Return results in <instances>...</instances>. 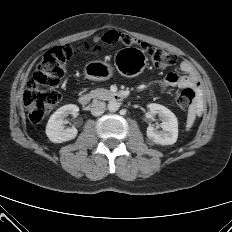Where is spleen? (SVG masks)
<instances>
[{
  "label": "spleen",
  "instance_id": "1",
  "mask_svg": "<svg viewBox=\"0 0 232 232\" xmlns=\"http://www.w3.org/2000/svg\"><path fill=\"white\" fill-rule=\"evenodd\" d=\"M196 118V107L194 105H191L188 110V115H187V123H186V130L188 131Z\"/></svg>",
  "mask_w": 232,
  "mask_h": 232
}]
</instances>
